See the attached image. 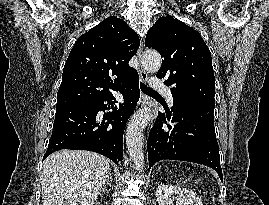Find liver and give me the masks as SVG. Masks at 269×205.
<instances>
[{
  "mask_svg": "<svg viewBox=\"0 0 269 205\" xmlns=\"http://www.w3.org/2000/svg\"><path fill=\"white\" fill-rule=\"evenodd\" d=\"M110 172L109 160L84 150H60L43 163V205H93Z\"/></svg>",
  "mask_w": 269,
  "mask_h": 205,
  "instance_id": "6515ba94",
  "label": "liver"
}]
</instances>
